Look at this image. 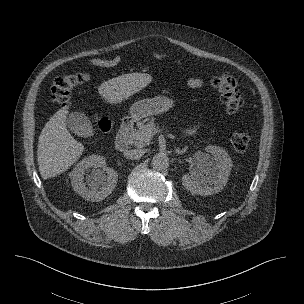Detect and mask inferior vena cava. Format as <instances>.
<instances>
[{"label":"inferior vena cava","mask_w":304,"mask_h":304,"mask_svg":"<svg viewBox=\"0 0 304 304\" xmlns=\"http://www.w3.org/2000/svg\"><path fill=\"white\" fill-rule=\"evenodd\" d=\"M144 154V151L142 149H132L127 150L124 152V157L127 159L135 160L140 159Z\"/></svg>","instance_id":"602c4592"}]
</instances>
